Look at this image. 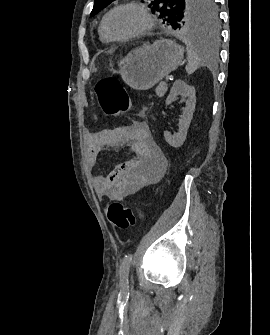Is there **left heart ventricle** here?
<instances>
[{
    "mask_svg": "<svg viewBox=\"0 0 270 335\" xmlns=\"http://www.w3.org/2000/svg\"><path fill=\"white\" fill-rule=\"evenodd\" d=\"M145 23V18L138 9L124 6L109 16L107 27L112 35L124 36L141 30Z\"/></svg>",
    "mask_w": 270,
    "mask_h": 335,
    "instance_id": "obj_1",
    "label": "left heart ventricle"
}]
</instances>
